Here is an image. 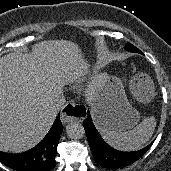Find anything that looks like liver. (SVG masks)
Wrapping results in <instances>:
<instances>
[{"instance_id": "obj_1", "label": "liver", "mask_w": 171, "mask_h": 171, "mask_svg": "<svg viewBox=\"0 0 171 171\" xmlns=\"http://www.w3.org/2000/svg\"><path fill=\"white\" fill-rule=\"evenodd\" d=\"M87 63L81 50L67 40L35 44L32 54L14 52L0 58V150L21 152L36 145L49 131L58 110L54 104L69 81H83ZM88 86L96 123L100 103Z\"/></svg>"}]
</instances>
